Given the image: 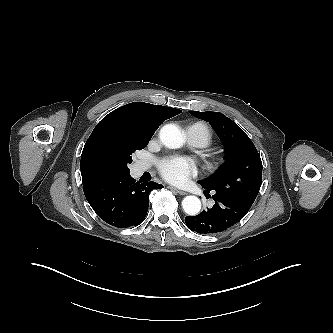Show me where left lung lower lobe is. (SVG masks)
<instances>
[{"instance_id": "0a47b994", "label": "left lung lower lobe", "mask_w": 333, "mask_h": 333, "mask_svg": "<svg viewBox=\"0 0 333 333\" xmlns=\"http://www.w3.org/2000/svg\"><path fill=\"white\" fill-rule=\"evenodd\" d=\"M206 189V188H205ZM206 189L204 193H209ZM215 205L199 215L185 218L187 227L200 234H216L225 231L239 222L249 211L251 205L227 195L215 193Z\"/></svg>"}]
</instances>
